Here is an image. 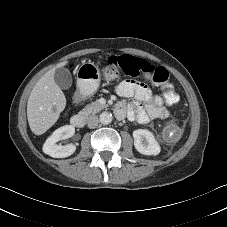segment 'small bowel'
<instances>
[{
	"instance_id": "1",
	"label": "small bowel",
	"mask_w": 227,
	"mask_h": 227,
	"mask_svg": "<svg viewBox=\"0 0 227 227\" xmlns=\"http://www.w3.org/2000/svg\"><path fill=\"white\" fill-rule=\"evenodd\" d=\"M115 91L122 99L135 98L143 103L142 106L138 102L127 105L122 101L116 109L118 118L127 116L130 120L146 124L150 120L170 117V110L165 106L163 99L154 95L149 86L143 82L131 79L123 80L116 85Z\"/></svg>"
}]
</instances>
